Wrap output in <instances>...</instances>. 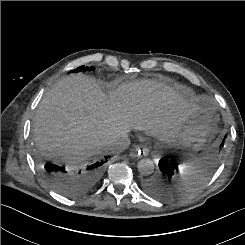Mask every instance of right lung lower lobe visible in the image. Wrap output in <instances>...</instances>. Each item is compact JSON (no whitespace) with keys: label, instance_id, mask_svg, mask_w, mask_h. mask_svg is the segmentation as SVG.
Wrapping results in <instances>:
<instances>
[{"label":"right lung lower lobe","instance_id":"right-lung-lower-lobe-1","mask_svg":"<svg viewBox=\"0 0 245 245\" xmlns=\"http://www.w3.org/2000/svg\"><path fill=\"white\" fill-rule=\"evenodd\" d=\"M108 158L68 170L55 164L42 163L40 171L54 190L66 197L74 198L82 196L94 185Z\"/></svg>","mask_w":245,"mask_h":245}]
</instances>
